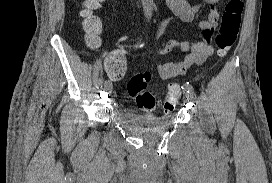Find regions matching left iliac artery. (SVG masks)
Masks as SVG:
<instances>
[{
	"label": "left iliac artery",
	"instance_id": "44dca946",
	"mask_svg": "<svg viewBox=\"0 0 272 183\" xmlns=\"http://www.w3.org/2000/svg\"><path fill=\"white\" fill-rule=\"evenodd\" d=\"M182 89H184L188 94L194 92L193 87L188 82L186 84H184V86L182 87Z\"/></svg>",
	"mask_w": 272,
	"mask_h": 183
}]
</instances>
